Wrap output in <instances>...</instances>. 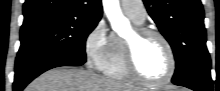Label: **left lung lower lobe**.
<instances>
[{"label":"left lung lower lobe","instance_id":"0a47b994","mask_svg":"<svg viewBox=\"0 0 220 91\" xmlns=\"http://www.w3.org/2000/svg\"><path fill=\"white\" fill-rule=\"evenodd\" d=\"M172 83L190 88L194 91H213L210 68L207 67L194 70L183 77L172 80Z\"/></svg>","mask_w":220,"mask_h":91}]
</instances>
